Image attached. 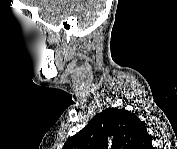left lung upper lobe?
I'll return each instance as SVG.
<instances>
[{"label":"left lung upper lobe","mask_w":177,"mask_h":149,"mask_svg":"<svg viewBox=\"0 0 177 149\" xmlns=\"http://www.w3.org/2000/svg\"><path fill=\"white\" fill-rule=\"evenodd\" d=\"M145 134L144 123L134 113L108 108L70 137L63 149H144Z\"/></svg>","instance_id":"left-lung-upper-lobe-1"}]
</instances>
